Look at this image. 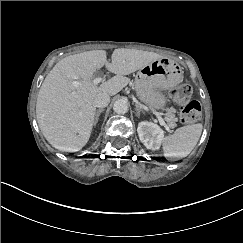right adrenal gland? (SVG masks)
<instances>
[{
	"label": "right adrenal gland",
	"instance_id": "obj_1",
	"mask_svg": "<svg viewBox=\"0 0 243 243\" xmlns=\"http://www.w3.org/2000/svg\"><path fill=\"white\" fill-rule=\"evenodd\" d=\"M104 111V108H100V109H98L97 111H96V113H95V120H94V125H96L97 124V122H98V119H99V116H100V114L102 113Z\"/></svg>",
	"mask_w": 243,
	"mask_h": 243
}]
</instances>
